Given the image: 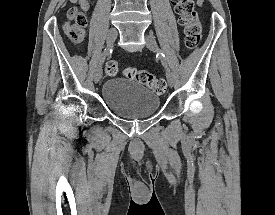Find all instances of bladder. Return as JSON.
<instances>
[{"label": "bladder", "instance_id": "bladder-1", "mask_svg": "<svg viewBox=\"0 0 275 215\" xmlns=\"http://www.w3.org/2000/svg\"><path fill=\"white\" fill-rule=\"evenodd\" d=\"M101 97L109 111L123 119H142L155 115L160 97L135 80L110 78L102 85Z\"/></svg>", "mask_w": 275, "mask_h": 215}]
</instances>
